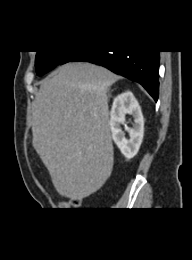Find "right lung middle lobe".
Returning a JSON list of instances; mask_svg holds the SVG:
<instances>
[{"instance_id":"1","label":"right lung middle lobe","mask_w":192,"mask_h":260,"mask_svg":"<svg viewBox=\"0 0 192 260\" xmlns=\"http://www.w3.org/2000/svg\"><path fill=\"white\" fill-rule=\"evenodd\" d=\"M69 51H37L35 68L37 75H43L61 64Z\"/></svg>"}]
</instances>
